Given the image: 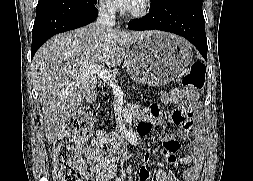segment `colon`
<instances>
[{
    "label": "colon",
    "mask_w": 253,
    "mask_h": 181,
    "mask_svg": "<svg viewBox=\"0 0 253 181\" xmlns=\"http://www.w3.org/2000/svg\"><path fill=\"white\" fill-rule=\"evenodd\" d=\"M205 72L206 68L202 62H194L183 78V88L191 94L199 92L204 86ZM193 113L192 109L186 110L189 118ZM90 132L91 126L83 115H75L65 123L53 149L54 177L57 181H93L85 172L79 151L81 142Z\"/></svg>",
    "instance_id": "colon-1"
}]
</instances>
